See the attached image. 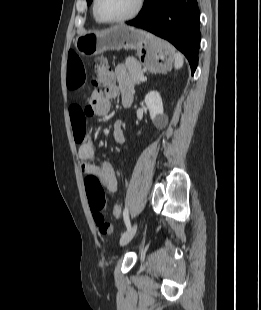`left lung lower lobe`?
Returning a JSON list of instances; mask_svg holds the SVG:
<instances>
[{
  "label": "left lung lower lobe",
  "mask_w": 261,
  "mask_h": 310,
  "mask_svg": "<svg viewBox=\"0 0 261 310\" xmlns=\"http://www.w3.org/2000/svg\"><path fill=\"white\" fill-rule=\"evenodd\" d=\"M199 19L197 0H145L138 16L127 24L168 40L187 57L194 74L200 46Z\"/></svg>",
  "instance_id": "1"
}]
</instances>
